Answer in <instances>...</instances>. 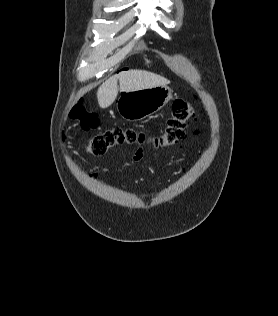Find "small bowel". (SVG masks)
Listing matches in <instances>:
<instances>
[{
  "label": "small bowel",
  "instance_id": "obj_1",
  "mask_svg": "<svg viewBox=\"0 0 278 316\" xmlns=\"http://www.w3.org/2000/svg\"><path fill=\"white\" fill-rule=\"evenodd\" d=\"M143 155H144L143 149L139 148V149L135 152V154H134V156H133V160L138 161V160H140V159L143 157Z\"/></svg>",
  "mask_w": 278,
  "mask_h": 316
}]
</instances>
